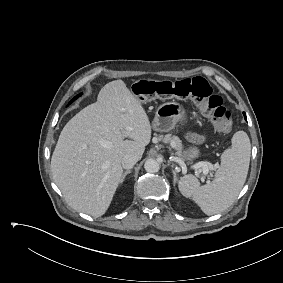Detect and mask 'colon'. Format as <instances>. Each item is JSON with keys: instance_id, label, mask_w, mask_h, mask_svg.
<instances>
[{"instance_id": "1", "label": "colon", "mask_w": 283, "mask_h": 283, "mask_svg": "<svg viewBox=\"0 0 283 283\" xmlns=\"http://www.w3.org/2000/svg\"><path fill=\"white\" fill-rule=\"evenodd\" d=\"M132 91L142 102L157 98H189L195 101L202 113L210 118L214 129L226 134L232 127V114L223 106L222 98L215 94L210 83L202 77L183 79L176 82L143 79L136 82Z\"/></svg>"}]
</instances>
